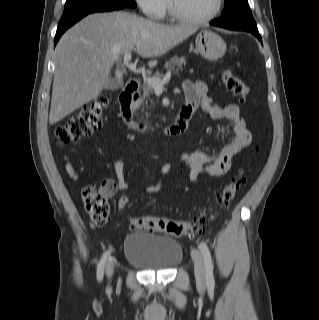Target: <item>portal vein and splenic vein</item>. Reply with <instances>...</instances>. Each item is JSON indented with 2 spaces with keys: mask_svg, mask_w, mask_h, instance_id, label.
<instances>
[{
  "mask_svg": "<svg viewBox=\"0 0 319 320\" xmlns=\"http://www.w3.org/2000/svg\"><path fill=\"white\" fill-rule=\"evenodd\" d=\"M131 60V53H125L123 57L124 63H129ZM171 77V72H167L166 75L163 77V79H157V78H148L147 82L153 87L155 90H162L163 85L166 84Z\"/></svg>",
  "mask_w": 319,
  "mask_h": 320,
  "instance_id": "1",
  "label": "portal vein and splenic vein"
}]
</instances>
